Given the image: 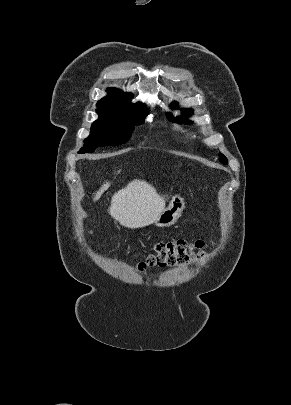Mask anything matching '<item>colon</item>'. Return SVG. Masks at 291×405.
I'll use <instances>...</instances> for the list:
<instances>
[{
    "mask_svg": "<svg viewBox=\"0 0 291 405\" xmlns=\"http://www.w3.org/2000/svg\"><path fill=\"white\" fill-rule=\"evenodd\" d=\"M206 244L202 240L187 241L178 239L161 241L157 243L146 257L139 263V268L153 266L172 267L187 264L193 257L201 258L205 252Z\"/></svg>",
    "mask_w": 291,
    "mask_h": 405,
    "instance_id": "colon-1",
    "label": "colon"
}]
</instances>
